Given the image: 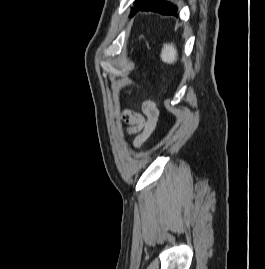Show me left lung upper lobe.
<instances>
[{
	"instance_id": "5c2ea615",
	"label": "left lung upper lobe",
	"mask_w": 265,
	"mask_h": 269,
	"mask_svg": "<svg viewBox=\"0 0 265 269\" xmlns=\"http://www.w3.org/2000/svg\"><path fill=\"white\" fill-rule=\"evenodd\" d=\"M146 0H137L136 3H135V6L138 8L140 7ZM136 8V9H137Z\"/></svg>"
}]
</instances>
